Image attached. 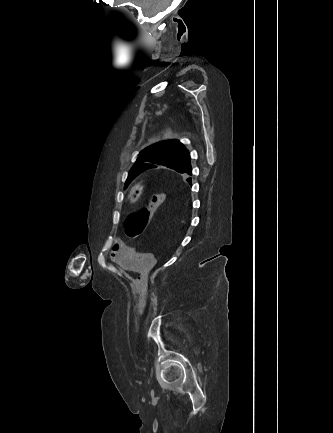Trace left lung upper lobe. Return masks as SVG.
<instances>
[{"mask_svg":"<svg viewBox=\"0 0 333 433\" xmlns=\"http://www.w3.org/2000/svg\"><path fill=\"white\" fill-rule=\"evenodd\" d=\"M145 165L166 166L177 172L185 173L191 168L190 154L179 141H164L153 144L140 152L136 163L128 174L125 187L140 173Z\"/></svg>","mask_w":333,"mask_h":433,"instance_id":"5c2ea615","label":"left lung upper lobe"}]
</instances>
